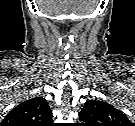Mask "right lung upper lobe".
Segmentation results:
<instances>
[{
  "label": "right lung upper lobe",
  "mask_w": 135,
  "mask_h": 126,
  "mask_svg": "<svg viewBox=\"0 0 135 126\" xmlns=\"http://www.w3.org/2000/svg\"><path fill=\"white\" fill-rule=\"evenodd\" d=\"M52 112L47 101L35 97L13 108L2 121V126H50Z\"/></svg>",
  "instance_id": "1"
}]
</instances>
